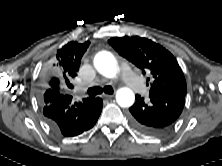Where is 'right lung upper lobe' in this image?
I'll list each match as a JSON object with an SVG mask.
<instances>
[{"label":"right lung upper lobe","mask_w":222,"mask_h":166,"mask_svg":"<svg viewBox=\"0 0 222 166\" xmlns=\"http://www.w3.org/2000/svg\"><path fill=\"white\" fill-rule=\"evenodd\" d=\"M89 44L88 41L85 43L71 41L57 50L51 60L46 89L66 94L64 89L70 86V80L77 75L81 58Z\"/></svg>","instance_id":"right-lung-upper-lobe-1"}]
</instances>
